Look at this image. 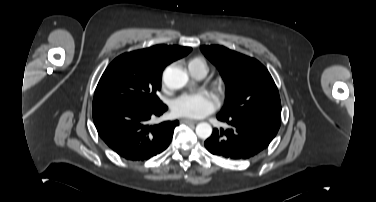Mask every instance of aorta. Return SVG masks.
<instances>
[{
  "mask_svg": "<svg viewBox=\"0 0 376 202\" xmlns=\"http://www.w3.org/2000/svg\"><path fill=\"white\" fill-rule=\"evenodd\" d=\"M189 80L185 71L176 66L168 67L163 73V81L169 89L183 88ZM212 133L209 123L202 122L196 126V134L201 139H207Z\"/></svg>",
  "mask_w": 376,
  "mask_h": 202,
  "instance_id": "aorta-1",
  "label": "aorta"
}]
</instances>
